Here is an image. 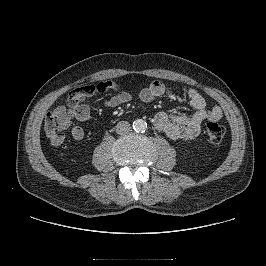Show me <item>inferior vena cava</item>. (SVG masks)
<instances>
[{
  "label": "inferior vena cava",
  "instance_id": "obj_1",
  "mask_svg": "<svg viewBox=\"0 0 266 266\" xmlns=\"http://www.w3.org/2000/svg\"><path fill=\"white\" fill-rule=\"evenodd\" d=\"M130 130H131V126H130V123L127 121H120L116 125L117 134H120V135L127 134L128 132H130Z\"/></svg>",
  "mask_w": 266,
  "mask_h": 266
}]
</instances>
